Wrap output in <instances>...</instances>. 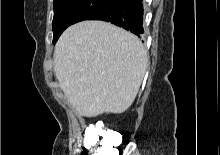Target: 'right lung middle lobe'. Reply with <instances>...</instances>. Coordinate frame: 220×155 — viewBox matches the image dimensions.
Wrapping results in <instances>:
<instances>
[{
  "mask_svg": "<svg viewBox=\"0 0 220 155\" xmlns=\"http://www.w3.org/2000/svg\"><path fill=\"white\" fill-rule=\"evenodd\" d=\"M120 0H54L52 22L54 43L70 25L86 20L91 15L106 9Z\"/></svg>",
  "mask_w": 220,
  "mask_h": 155,
  "instance_id": "right-lung-middle-lobe-1",
  "label": "right lung middle lobe"
}]
</instances>
